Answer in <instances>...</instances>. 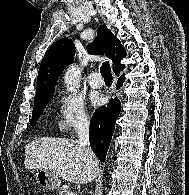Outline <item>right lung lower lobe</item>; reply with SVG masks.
I'll return each mask as SVG.
<instances>
[{
  "instance_id": "obj_1",
  "label": "right lung lower lobe",
  "mask_w": 189,
  "mask_h": 195,
  "mask_svg": "<svg viewBox=\"0 0 189 195\" xmlns=\"http://www.w3.org/2000/svg\"><path fill=\"white\" fill-rule=\"evenodd\" d=\"M119 76V74H116ZM125 81L122 74L117 81L119 89ZM121 102L116 97L111 99L106 106L95 111L90 122L89 141L93 152L100 161L104 162L115 129V122L120 114Z\"/></svg>"
}]
</instances>
